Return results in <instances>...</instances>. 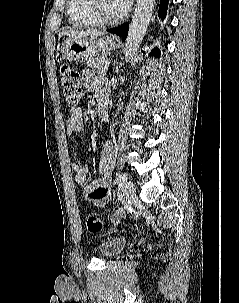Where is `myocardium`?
Instances as JSON below:
<instances>
[{"mask_svg": "<svg viewBox=\"0 0 239 303\" xmlns=\"http://www.w3.org/2000/svg\"><path fill=\"white\" fill-rule=\"evenodd\" d=\"M88 9L92 17L98 24L112 25L121 22L127 15V11H123L115 17L107 16L102 8L101 0H88Z\"/></svg>", "mask_w": 239, "mask_h": 303, "instance_id": "myocardium-1", "label": "myocardium"}]
</instances>
